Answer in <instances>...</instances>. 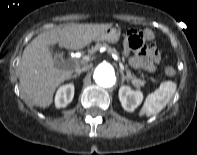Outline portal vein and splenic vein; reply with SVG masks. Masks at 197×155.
<instances>
[{
	"instance_id": "obj_1",
	"label": "portal vein and splenic vein",
	"mask_w": 197,
	"mask_h": 155,
	"mask_svg": "<svg viewBox=\"0 0 197 155\" xmlns=\"http://www.w3.org/2000/svg\"><path fill=\"white\" fill-rule=\"evenodd\" d=\"M119 66L121 68V70L123 71L124 70V66H123V63L119 61Z\"/></svg>"
}]
</instances>
